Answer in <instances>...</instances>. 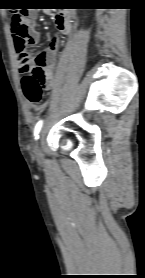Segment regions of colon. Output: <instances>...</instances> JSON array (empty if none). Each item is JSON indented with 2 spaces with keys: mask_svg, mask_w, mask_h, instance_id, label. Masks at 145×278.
<instances>
[{
  "mask_svg": "<svg viewBox=\"0 0 145 278\" xmlns=\"http://www.w3.org/2000/svg\"><path fill=\"white\" fill-rule=\"evenodd\" d=\"M12 34L15 38L17 53H25L29 56V51L26 48L28 29L23 15L15 16L12 23ZM33 59L36 65L30 72L25 73L23 76L22 89L25 98L30 104L39 105L43 99V88L46 80V60L41 54L35 55Z\"/></svg>",
  "mask_w": 145,
  "mask_h": 278,
  "instance_id": "5ec220e1",
  "label": "colon"
}]
</instances>
